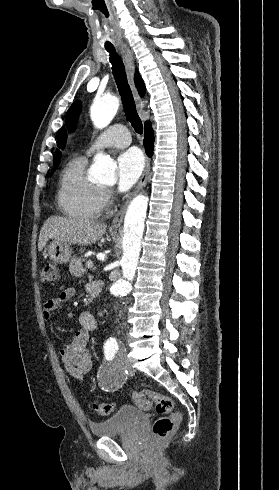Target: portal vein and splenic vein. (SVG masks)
I'll use <instances>...</instances> for the list:
<instances>
[{"label":"portal vein and splenic vein","instance_id":"1","mask_svg":"<svg viewBox=\"0 0 279 490\" xmlns=\"http://www.w3.org/2000/svg\"><path fill=\"white\" fill-rule=\"evenodd\" d=\"M86 268H93V262H86Z\"/></svg>","mask_w":279,"mask_h":490}]
</instances>
